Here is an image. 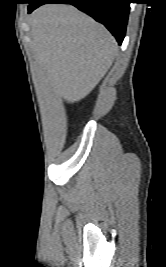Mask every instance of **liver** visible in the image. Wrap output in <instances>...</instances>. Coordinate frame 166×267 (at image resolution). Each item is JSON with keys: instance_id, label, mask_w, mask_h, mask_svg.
<instances>
[{"instance_id": "obj_1", "label": "liver", "mask_w": 166, "mask_h": 267, "mask_svg": "<svg viewBox=\"0 0 166 267\" xmlns=\"http://www.w3.org/2000/svg\"><path fill=\"white\" fill-rule=\"evenodd\" d=\"M31 34L35 59L54 92L68 103L92 91L118 52L116 40L103 25L70 5L38 8Z\"/></svg>"}]
</instances>
